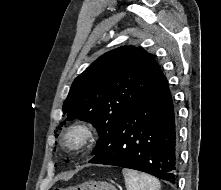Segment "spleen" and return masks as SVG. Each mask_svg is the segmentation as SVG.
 <instances>
[{
	"mask_svg": "<svg viewBox=\"0 0 221 190\" xmlns=\"http://www.w3.org/2000/svg\"><path fill=\"white\" fill-rule=\"evenodd\" d=\"M127 190H160V182L155 177L132 169L122 170Z\"/></svg>",
	"mask_w": 221,
	"mask_h": 190,
	"instance_id": "3e777b00",
	"label": "spleen"
}]
</instances>
